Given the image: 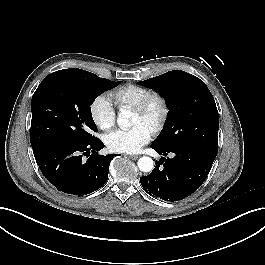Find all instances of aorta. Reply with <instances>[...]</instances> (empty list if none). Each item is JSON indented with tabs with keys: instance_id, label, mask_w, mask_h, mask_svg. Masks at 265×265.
Instances as JSON below:
<instances>
[{
	"instance_id": "1",
	"label": "aorta",
	"mask_w": 265,
	"mask_h": 265,
	"mask_svg": "<svg viewBox=\"0 0 265 265\" xmlns=\"http://www.w3.org/2000/svg\"><path fill=\"white\" fill-rule=\"evenodd\" d=\"M129 117H130V112L123 110L118 114V118H117V124L120 128L122 129H126L128 127L131 126L130 121H129ZM138 168L140 171L142 172H150L153 170L154 168V161L152 160V158L148 157V156H143L138 160Z\"/></svg>"
}]
</instances>
